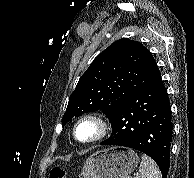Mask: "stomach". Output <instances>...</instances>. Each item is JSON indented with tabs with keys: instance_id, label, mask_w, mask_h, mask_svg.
I'll return each mask as SVG.
<instances>
[{
	"instance_id": "obj_1",
	"label": "stomach",
	"mask_w": 194,
	"mask_h": 178,
	"mask_svg": "<svg viewBox=\"0 0 194 178\" xmlns=\"http://www.w3.org/2000/svg\"><path fill=\"white\" fill-rule=\"evenodd\" d=\"M139 162L135 151L111 147L93 153L84 163L81 178H128Z\"/></svg>"
}]
</instances>
